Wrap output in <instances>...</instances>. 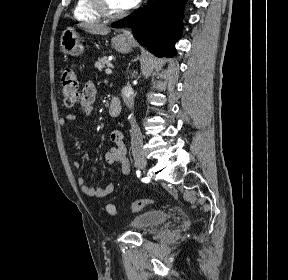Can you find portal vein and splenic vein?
Segmentation results:
<instances>
[{
  "mask_svg": "<svg viewBox=\"0 0 288 280\" xmlns=\"http://www.w3.org/2000/svg\"><path fill=\"white\" fill-rule=\"evenodd\" d=\"M111 66V65H110ZM105 73L106 74H111L112 73V70L110 69V68H107L106 70H105Z\"/></svg>",
  "mask_w": 288,
  "mask_h": 280,
  "instance_id": "18ae733b",
  "label": "portal vein and splenic vein"
}]
</instances>
